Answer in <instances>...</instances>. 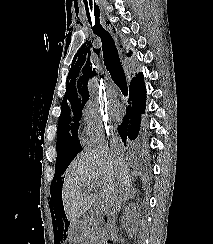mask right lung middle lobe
Here are the masks:
<instances>
[{"label": "right lung middle lobe", "mask_w": 213, "mask_h": 244, "mask_svg": "<svg viewBox=\"0 0 213 244\" xmlns=\"http://www.w3.org/2000/svg\"><path fill=\"white\" fill-rule=\"evenodd\" d=\"M84 106H78L61 112L57 130V152L55 176L63 173L73 158L82 150L78 140L79 120ZM56 184V183H55Z\"/></svg>", "instance_id": "1"}]
</instances>
